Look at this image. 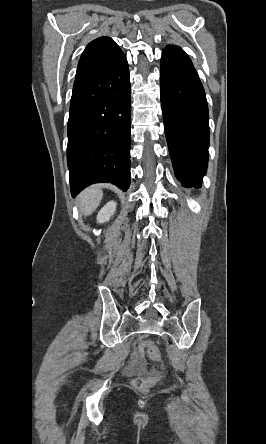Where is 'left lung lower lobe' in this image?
<instances>
[{
	"label": "left lung lower lobe",
	"instance_id": "left-lung-lower-lobe-1",
	"mask_svg": "<svg viewBox=\"0 0 266 444\" xmlns=\"http://www.w3.org/2000/svg\"><path fill=\"white\" fill-rule=\"evenodd\" d=\"M164 129L175 175L184 186H200L209 148L204 88L190 58L163 52L160 64Z\"/></svg>",
	"mask_w": 266,
	"mask_h": 444
}]
</instances>
